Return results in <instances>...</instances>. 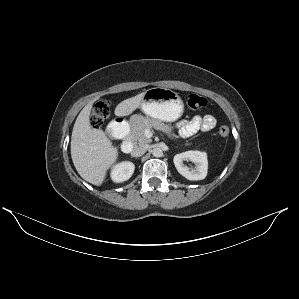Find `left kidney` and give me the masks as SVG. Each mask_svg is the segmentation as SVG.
I'll return each mask as SVG.
<instances>
[{"mask_svg": "<svg viewBox=\"0 0 299 299\" xmlns=\"http://www.w3.org/2000/svg\"><path fill=\"white\" fill-rule=\"evenodd\" d=\"M184 160H190L193 162L195 164V169L189 170L184 165ZM173 162L177 171L188 180H203L207 175L208 160L205 152L186 151L179 153L174 156Z\"/></svg>", "mask_w": 299, "mask_h": 299, "instance_id": "1", "label": "left kidney"}]
</instances>
